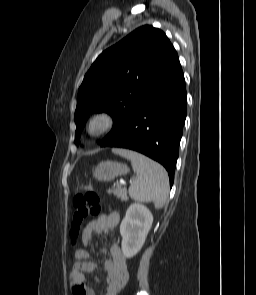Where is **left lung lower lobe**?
Wrapping results in <instances>:
<instances>
[{
	"instance_id": "obj_1",
	"label": "left lung lower lobe",
	"mask_w": 256,
	"mask_h": 295,
	"mask_svg": "<svg viewBox=\"0 0 256 295\" xmlns=\"http://www.w3.org/2000/svg\"><path fill=\"white\" fill-rule=\"evenodd\" d=\"M186 114L187 94L179 65L100 146L131 149L158 161L168 171L172 186Z\"/></svg>"
}]
</instances>
